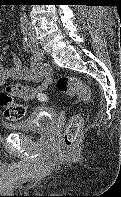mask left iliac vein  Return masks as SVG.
Listing matches in <instances>:
<instances>
[{
  "mask_svg": "<svg viewBox=\"0 0 121 197\" xmlns=\"http://www.w3.org/2000/svg\"><path fill=\"white\" fill-rule=\"evenodd\" d=\"M30 32H31L34 44L37 45L38 42H37V39H36V36H35V31L31 26H30Z\"/></svg>",
  "mask_w": 121,
  "mask_h": 197,
  "instance_id": "4c4485c4",
  "label": "left iliac vein"
}]
</instances>
